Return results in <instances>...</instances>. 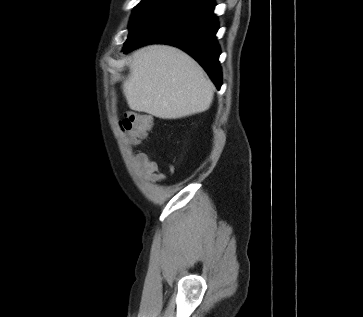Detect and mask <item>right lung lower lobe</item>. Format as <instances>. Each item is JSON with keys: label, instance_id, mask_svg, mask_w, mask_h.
<instances>
[{"label": "right lung lower lobe", "instance_id": "right-lung-lower-lobe-1", "mask_svg": "<svg viewBox=\"0 0 363 317\" xmlns=\"http://www.w3.org/2000/svg\"><path fill=\"white\" fill-rule=\"evenodd\" d=\"M214 7L212 0H183L153 20L134 40L126 42L123 51L151 43L179 47L201 64L220 89V49L215 36L218 22Z\"/></svg>", "mask_w": 363, "mask_h": 317}]
</instances>
